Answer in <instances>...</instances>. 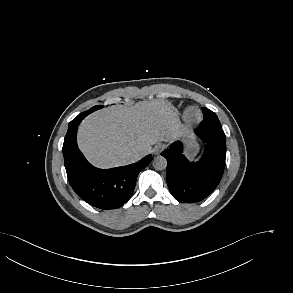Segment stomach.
<instances>
[{"mask_svg":"<svg viewBox=\"0 0 293 293\" xmlns=\"http://www.w3.org/2000/svg\"><path fill=\"white\" fill-rule=\"evenodd\" d=\"M177 136L184 139V140H187L186 155L189 158H193L197 154V152L199 150V146H198L197 142L195 141V139L193 137H191L190 131H188L185 128H180Z\"/></svg>","mask_w":293,"mask_h":293,"instance_id":"obj_1","label":"stomach"}]
</instances>
